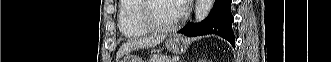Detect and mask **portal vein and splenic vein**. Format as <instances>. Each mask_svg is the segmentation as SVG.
I'll use <instances>...</instances> for the list:
<instances>
[{
  "instance_id": "obj_1",
  "label": "portal vein and splenic vein",
  "mask_w": 331,
  "mask_h": 62,
  "mask_svg": "<svg viewBox=\"0 0 331 62\" xmlns=\"http://www.w3.org/2000/svg\"><path fill=\"white\" fill-rule=\"evenodd\" d=\"M176 60H178V58H176V57H175V58H173V61H176Z\"/></svg>"
}]
</instances>
